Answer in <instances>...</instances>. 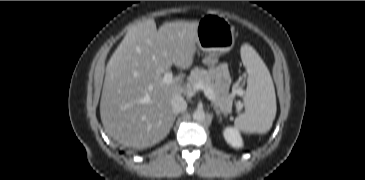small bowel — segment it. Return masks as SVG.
I'll use <instances>...</instances> for the list:
<instances>
[{
	"instance_id": "c3829d8e",
	"label": "small bowel",
	"mask_w": 365,
	"mask_h": 180,
	"mask_svg": "<svg viewBox=\"0 0 365 180\" xmlns=\"http://www.w3.org/2000/svg\"><path fill=\"white\" fill-rule=\"evenodd\" d=\"M206 64L218 81H220L223 84H226L228 82L227 70L225 66L217 65L216 58L208 57L206 59Z\"/></svg>"
}]
</instances>
